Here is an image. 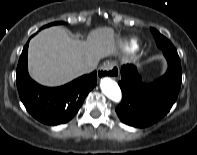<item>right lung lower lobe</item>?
<instances>
[{
  "instance_id": "98d812e1",
  "label": "right lung lower lobe",
  "mask_w": 197,
  "mask_h": 155,
  "mask_svg": "<svg viewBox=\"0 0 197 155\" xmlns=\"http://www.w3.org/2000/svg\"><path fill=\"white\" fill-rule=\"evenodd\" d=\"M28 44L23 48L16 70L20 99L38 121L47 125L66 123L76 115L87 94L95 87L96 72L83 75L61 87L41 86L28 74Z\"/></svg>"
}]
</instances>
